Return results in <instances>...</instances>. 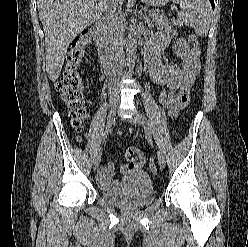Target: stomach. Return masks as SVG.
<instances>
[{
  "label": "stomach",
  "mask_w": 248,
  "mask_h": 247,
  "mask_svg": "<svg viewBox=\"0 0 248 247\" xmlns=\"http://www.w3.org/2000/svg\"><path fill=\"white\" fill-rule=\"evenodd\" d=\"M168 0H142L148 6H161L164 5Z\"/></svg>",
  "instance_id": "obj_1"
}]
</instances>
